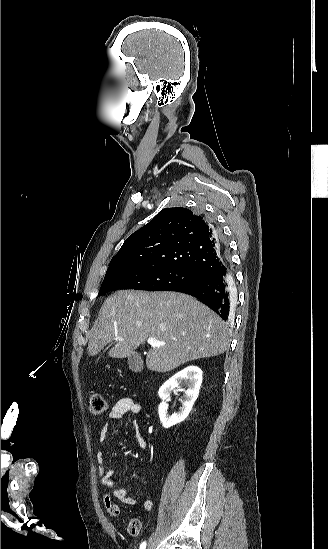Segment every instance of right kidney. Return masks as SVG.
<instances>
[{
	"label": "right kidney",
	"mask_w": 328,
	"mask_h": 549,
	"mask_svg": "<svg viewBox=\"0 0 328 549\" xmlns=\"http://www.w3.org/2000/svg\"><path fill=\"white\" fill-rule=\"evenodd\" d=\"M179 383H185V385H187L188 387L187 391H185L186 397L184 401H182V411H180V413H174V415L168 417L167 401H170V393L171 391H173V389L179 387ZM201 383V369H199V367H194V365H190V367H186V369H183V371H179V373L173 375L171 379H168V381H166V383H164V385L160 387L158 395L160 399H162V403H160L158 407V413L160 421L162 423V427H164V429H169V427H173V425L181 423V421H184V419L188 417L194 405V401H196L199 395ZM181 391H184V389H181Z\"/></svg>",
	"instance_id": "1"
}]
</instances>
